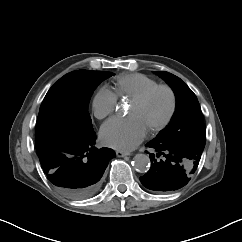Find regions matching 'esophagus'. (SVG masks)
<instances>
[{"label": "esophagus", "mask_w": 242, "mask_h": 242, "mask_svg": "<svg viewBox=\"0 0 242 242\" xmlns=\"http://www.w3.org/2000/svg\"><path fill=\"white\" fill-rule=\"evenodd\" d=\"M116 155L117 157H125V156H129L130 154L127 152L116 151Z\"/></svg>", "instance_id": "esophagus-1"}]
</instances>
